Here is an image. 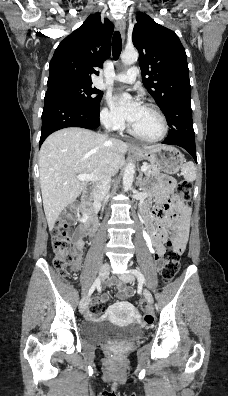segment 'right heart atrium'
<instances>
[{
    "mask_svg": "<svg viewBox=\"0 0 228 396\" xmlns=\"http://www.w3.org/2000/svg\"><path fill=\"white\" fill-rule=\"evenodd\" d=\"M102 124L110 130H120L123 127L122 120L116 116L108 107H104L100 112Z\"/></svg>",
    "mask_w": 228,
    "mask_h": 396,
    "instance_id": "1",
    "label": "right heart atrium"
}]
</instances>
